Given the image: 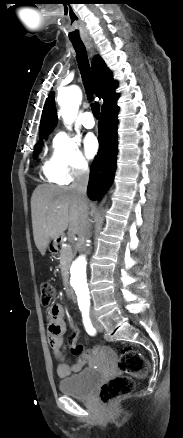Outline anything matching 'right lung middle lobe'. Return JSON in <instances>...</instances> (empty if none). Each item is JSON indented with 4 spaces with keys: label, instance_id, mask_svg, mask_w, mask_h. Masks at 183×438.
I'll return each mask as SVG.
<instances>
[{
    "label": "right lung middle lobe",
    "instance_id": "dd1d6c3e",
    "mask_svg": "<svg viewBox=\"0 0 183 438\" xmlns=\"http://www.w3.org/2000/svg\"><path fill=\"white\" fill-rule=\"evenodd\" d=\"M47 136H48V135H43V136H40V137H39L40 142H38V143L34 146L33 158H36V156H37V154H38V151H39V149H40V146H41V144H42V140H43L44 138H46Z\"/></svg>",
    "mask_w": 183,
    "mask_h": 438
}]
</instances>
